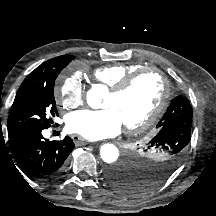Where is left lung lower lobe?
Returning <instances> with one entry per match:
<instances>
[{
    "instance_id": "0a47b994",
    "label": "left lung lower lobe",
    "mask_w": 216,
    "mask_h": 216,
    "mask_svg": "<svg viewBox=\"0 0 216 216\" xmlns=\"http://www.w3.org/2000/svg\"><path fill=\"white\" fill-rule=\"evenodd\" d=\"M109 183L122 194L134 196L133 179L136 178L133 170L127 167H114L107 171Z\"/></svg>"
}]
</instances>
